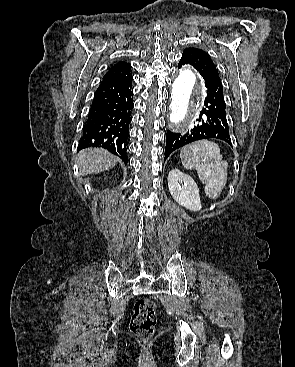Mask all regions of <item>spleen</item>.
Returning a JSON list of instances; mask_svg holds the SVG:
<instances>
[{"label": "spleen", "mask_w": 295, "mask_h": 367, "mask_svg": "<svg viewBox=\"0 0 295 367\" xmlns=\"http://www.w3.org/2000/svg\"><path fill=\"white\" fill-rule=\"evenodd\" d=\"M180 158L184 168L196 169L200 181L205 184L206 196L217 199L227 182L228 169L219 146L208 140L196 141L181 149Z\"/></svg>", "instance_id": "1"}]
</instances>
